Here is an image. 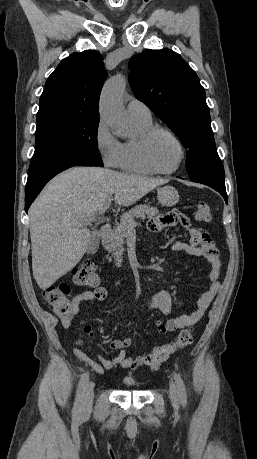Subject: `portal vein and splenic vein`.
I'll return each mask as SVG.
<instances>
[{"label": "portal vein and splenic vein", "mask_w": 257, "mask_h": 459, "mask_svg": "<svg viewBox=\"0 0 257 459\" xmlns=\"http://www.w3.org/2000/svg\"><path fill=\"white\" fill-rule=\"evenodd\" d=\"M110 203H111V199L109 198V199L106 200V202L104 203V206L101 208L99 213H101V214L104 213L109 208ZM92 220H93V218L89 219V221H92ZM134 225H136V223L134 221L131 222V226H134Z\"/></svg>", "instance_id": "obj_1"}]
</instances>
